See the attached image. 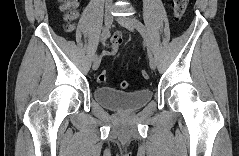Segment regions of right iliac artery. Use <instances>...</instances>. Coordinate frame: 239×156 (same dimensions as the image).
Wrapping results in <instances>:
<instances>
[{
    "instance_id": "1",
    "label": "right iliac artery",
    "mask_w": 239,
    "mask_h": 156,
    "mask_svg": "<svg viewBox=\"0 0 239 156\" xmlns=\"http://www.w3.org/2000/svg\"><path fill=\"white\" fill-rule=\"evenodd\" d=\"M108 37H109V30L104 29L101 34V38H100L101 43H105V41L107 40ZM98 57H99L98 54H95L93 57V60H95Z\"/></svg>"
}]
</instances>
